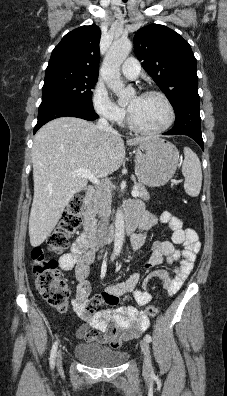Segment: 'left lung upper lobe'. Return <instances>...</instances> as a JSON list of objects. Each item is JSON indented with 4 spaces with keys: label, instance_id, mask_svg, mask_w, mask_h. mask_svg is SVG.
<instances>
[{
    "label": "left lung upper lobe",
    "instance_id": "obj_1",
    "mask_svg": "<svg viewBox=\"0 0 227 396\" xmlns=\"http://www.w3.org/2000/svg\"><path fill=\"white\" fill-rule=\"evenodd\" d=\"M133 40L137 58L174 109L199 100L196 59L187 41L159 24L141 28Z\"/></svg>",
    "mask_w": 227,
    "mask_h": 396
}]
</instances>
